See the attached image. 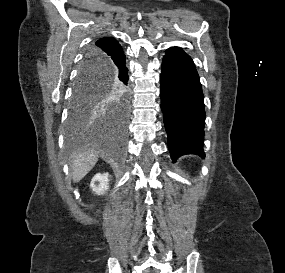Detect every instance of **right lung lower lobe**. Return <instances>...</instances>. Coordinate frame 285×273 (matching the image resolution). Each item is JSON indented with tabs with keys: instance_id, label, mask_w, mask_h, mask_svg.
I'll list each match as a JSON object with an SVG mask.
<instances>
[{
	"instance_id": "obj_1",
	"label": "right lung lower lobe",
	"mask_w": 285,
	"mask_h": 273,
	"mask_svg": "<svg viewBox=\"0 0 285 273\" xmlns=\"http://www.w3.org/2000/svg\"><path fill=\"white\" fill-rule=\"evenodd\" d=\"M106 63L111 70L113 79L122 87L125 88L128 82V69L125 65L126 59L124 52L117 56H112L110 58L101 57L98 59L96 64Z\"/></svg>"
}]
</instances>
